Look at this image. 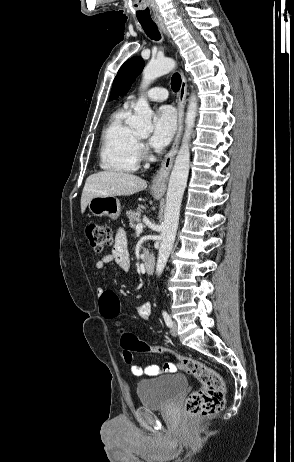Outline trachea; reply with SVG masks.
<instances>
[{"instance_id":"1","label":"trachea","mask_w":294,"mask_h":462,"mask_svg":"<svg viewBox=\"0 0 294 462\" xmlns=\"http://www.w3.org/2000/svg\"><path fill=\"white\" fill-rule=\"evenodd\" d=\"M142 28L144 29L147 36L152 40H160L161 35L157 29V26L153 22H140ZM181 86V76L178 73H175L171 78V87L174 92H177Z\"/></svg>"}]
</instances>
